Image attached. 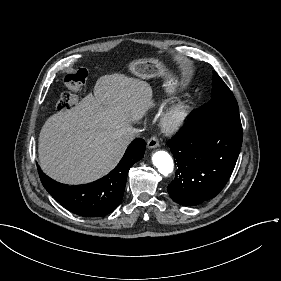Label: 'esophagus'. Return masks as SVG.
Listing matches in <instances>:
<instances>
[{
  "instance_id": "esophagus-1",
  "label": "esophagus",
  "mask_w": 281,
  "mask_h": 281,
  "mask_svg": "<svg viewBox=\"0 0 281 281\" xmlns=\"http://www.w3.org/2000/svg\"><path fill=\"white\" fill-rule=\"evenodd\" d=\"M147 147L149 148V149H153V148H157V147H159V141H158V139L156 138V137H151L150 139H149V141H148V143H147Z\"/></svg>"
}]
</instances>
